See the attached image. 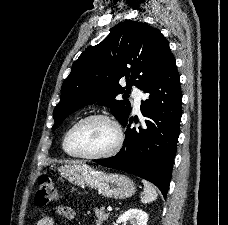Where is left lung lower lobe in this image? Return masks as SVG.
Listing matches in <instances>:
<instances>
[{
  "label": "left lung lower lobe",
  "mask_w": 228,
  "mask_h": 225,
  "mask_svg": "<svg viewBox=\"0 0 228 225\" xmlns=\"http://www.w3.org/2000/svg\"><path fill=\"white\" fill-rule=\"evenodd\" d=\"M142 91L147 94L140 106L145 117L144 126L130 129L133 120L128 117L122 123L127 131L121 151L94 162L152 182L166 199L182 115L180 78L173 55Z\"/></svg>",
  "instance_id": "0a47b994"
}]
</instances>
